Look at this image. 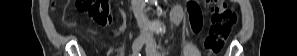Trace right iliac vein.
<instances>
[{
  "label": "right iliac vein",
  "mask_w": 297,
  "mask_h": 56,
  "mask_svg": "<svg viewBox=\"0 0 297 56\" xmlns=\"http://www.w3.org/2000/svg\"><path fill=\"white\" fill-rule=\"evenodd\" d=\"M146 42L147 40L145 37H142V36L138 37L132 45L133 52L137 54Z\"/></svg>",
  "instance_id": "right-iliac-vein-1"
}]
</instances>
